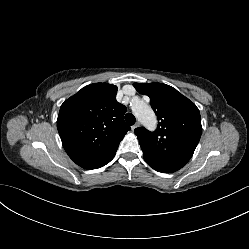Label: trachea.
Listing matches in <instances>:
<instances>
[{"label":"trachea","mask_w":249,"mask_h":249,"mask_svg":"<svg viewBox=\"0 0 249 249\" xmlns=\"http://www.w3.org/2000/svg\"><path fill=\"white\" fill-rule=\"evenodd\" d=\"M125 120H126V122H127L129 125H134V123H135V121H136L134 115L131 114V113H127V114L125 115Z\"/></svg>","instance_id":"trachea-1"}]
</instances>
